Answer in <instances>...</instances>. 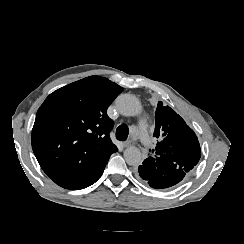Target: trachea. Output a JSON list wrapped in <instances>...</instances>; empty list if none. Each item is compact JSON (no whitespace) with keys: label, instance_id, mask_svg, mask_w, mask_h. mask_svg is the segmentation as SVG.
I'll return each mask as SVG.
<instances>
[{"label":"trachea","instance_id":"obj_1","mask_svg":"<svg viewBox=\"0 0 244 244\" xmlns=\"http://www.w3.org/2000/svg\"><path fill=\"white\" fill-rule=\"evenodd\" d=\"M129 134V128L126 124H121L116 129V138L120 141H125Z\"/></svg>","mask_w":244,"mask_h":244}]
</instances>
